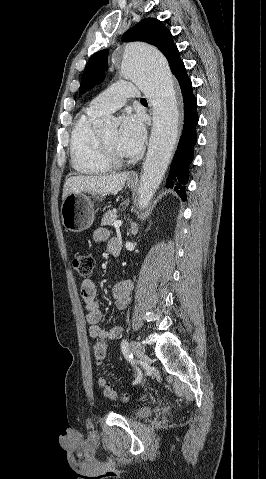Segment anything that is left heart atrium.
<instances>
[{
  "label": "left heart atrium",
  "mask_w": 266,
  "mask_h": 479,
  "mask_svg": "<svg viewBox=\"0 0 266 479\" xmlns=\"http://www.w3.org/2000/svg\"><path fill=\"white\" fill-rule=\"evenodd\" d=\"M145 133V126L140 116L126 115L118 131V144L121 152L125 156L138 154L145 140Z\"/></svg>",
  "instance_id": "left-heart-atrium-1"
}]
</instances>
